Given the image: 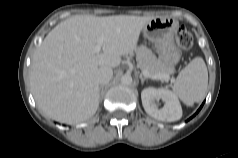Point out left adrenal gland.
<instances>
[{
    "label": "left adrenal gland",
    "mask_w": 238,
    "mask_h": 158,
    "mask_svg": "<svg viewBox=\"0 0 238 158\" xmlns=\"http://www.w3.org/2000/svg\"><path fill=\"white\" fill-rule=\"evenodd\" d=\"M139 78L141 80V84H144V81L148 80L146 77H144L141 73L139 74Z\"/></svg>",
    "instance_id": "obj_1"
}]
</instances>
